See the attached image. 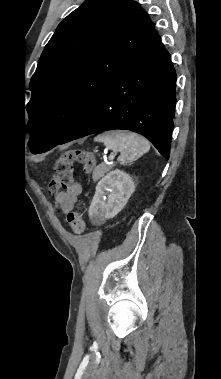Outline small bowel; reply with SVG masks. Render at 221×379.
<instances>
[{
    "mask_svg": "<svg viewBox=\"0 0 221 379\" xmlns=\"http://www.w3.org/2000/svg\"><path fill=\"white\" fill-rule=\"evenodd\" d=\"M82 192V187L79 183H74L71 187L59 193L58 190L52 191V196L56 197V201L65 214L71 213L76 205L79 195Z\"/></svg>",
    "mask_w": 221,
    "mask_h": 379,
    "instance_id": "1",
    "label": "small bowel"
}]
</instances>
